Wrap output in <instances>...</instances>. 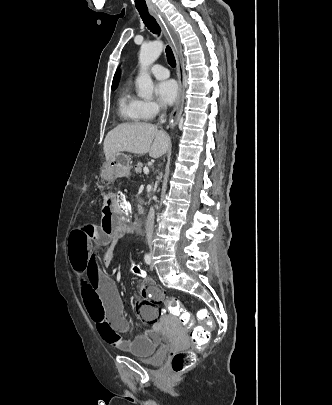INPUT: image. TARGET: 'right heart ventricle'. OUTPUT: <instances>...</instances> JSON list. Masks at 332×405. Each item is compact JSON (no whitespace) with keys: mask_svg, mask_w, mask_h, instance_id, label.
<instances>
[{"mask_svg":"<svg viewBox=\"0 0 332 405\" xmlns=\"http://www.w3.org/2000/svg\"><path fill=\"white\" fill-rule=\"evenodd\" d=\"M118 113L128 123H140L146 119L143 101L133 94L131 86L125 85L118 97Z\"/></svg>","mask_w":332,"mask_h":405,"instance_id":"right-heart-ventricle-1","label":"right heart ventricle"}]
</instances>
